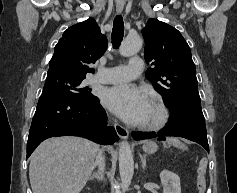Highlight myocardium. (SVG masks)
I'll list each match as a JSON object with an SVG mask.
<instances>
[{
    "label": "myocardium",
    "instance_id": "myocardium-1",
    "mask_svg": "<svg viewBox=\"0 0 237 193\" xmlns=\"http://www.w3.org/2000/svg\"><path fill=\"white\" fill-rule=\"evenodd\" d=\"M158 110V117L147 123H139V128L144 130H159L166 126L170 118V112L165 103L158 97H152L150 100Z\"/></svg>",
    "mask_w": 237,
    "mask_h": 193
}]
</instances>
